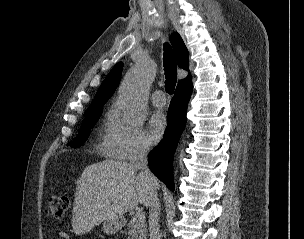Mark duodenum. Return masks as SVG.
<instances>
[{"instance_id": "1", "label": "duodenum", "mask_w": 304, "mask_h": 239, "mask_svg": "<svg viewBox=\"0 0 304 239\" xmlns=\"http://www.w3.org/2000/svg\"><path fill=\"white\" fill-rule=\"evenodd\" d=\"M119 224H120V225H123V224H124V222H123V221H119Z\"/></svg>"}]
</instances>
